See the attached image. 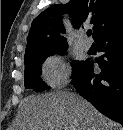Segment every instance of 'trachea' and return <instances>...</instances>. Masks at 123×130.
<instances>
[{"label":"trachea","instance_id":"1","mask_svg":"<svg viewBox=\"0 0 123 130\" xmlns=\"http://www.w3.org/2000/svg\"><path fill=\"white\" fill-rule=\"evenodd\" d=\"M92 34V31H88L87 35L90 36Z\"/></svg>","mask_w":123,"mask_h":130}]
</instances>
